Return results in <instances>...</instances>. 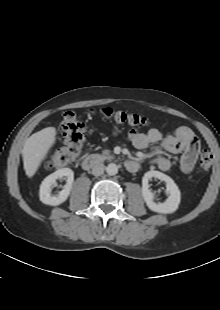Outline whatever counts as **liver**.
<instances>
[{
  "label": "liver",
  "instance_id": "1",
  "mask_svg": "<svg viewBox=\"0 0 220 310\" xmlns=\"http://www.w3.org/2000/svg\"><path fill=\"white\" fill-rule=\"evenodd\" d=\"M56 134L54 127H47L32 134L26 140L22 156L24 170L29 178L35 175L43 160L46 159L50 148L56 141Z\"/></svg>",
  "mask_w": 220,
  "mask_h": 310
}]
</instances>
